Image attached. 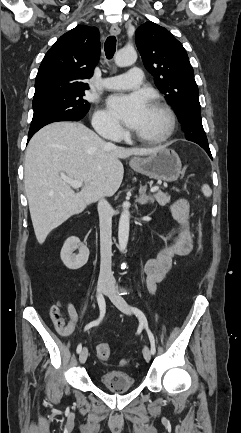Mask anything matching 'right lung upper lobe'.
I'll return each mask as SVG.
<instances>
[{"label": "right lung upper lobe", "instance_id": "1", "mask_svg": "<svg viewBox=\"0 0 241 433\" xmlns=\"http://www.w3.org/2000/svg\"><path fill=\"white\" fill-rule=\"evenodd\" d=\"M99 56L100 37L96 27L78 25L68 31L44 56L35 79L34 97L89 89L84 80L92 76Z\"/></svg>", "mask_w": 241, "mask_h": 433}]
</instances>
